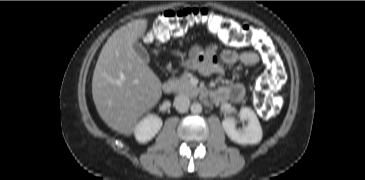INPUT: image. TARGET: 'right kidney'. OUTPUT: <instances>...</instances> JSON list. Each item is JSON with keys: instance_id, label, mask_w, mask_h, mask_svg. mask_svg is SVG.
I'll use <instances>...</instances> for the list:
<instances>
[{"instance_id": "right-kidney-1", "label": "right kidney", "mask_w": 365, "mask_h": 180, "mask_svg": "<svg viewBox=\"0 0 365 180\" xmlns=\"http://www.w3.org/2000/svg\"><path fill=\"white\" fill-rule=\"evenodd\" d=\"M161 127V118L155 115H148L136 125L134 130L135 137L138 142L146 143L158 133Z\"/></svg>"}]
</instances>
